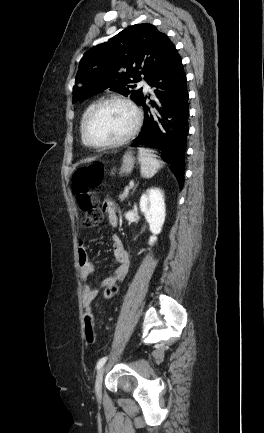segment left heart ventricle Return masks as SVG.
I'll return each instance as SVG.
<instances>
[{
    "label": "left heart ventricle",
    "mask_w": 264,
    "mask_h": 433,
    "mask_svg": "<svg viewBox=\"0 0 264 433\" xmlns=\"http://www.w3.org/2000/svg\"><path fill=\"white\" fill-rule=\"evenodd\" d=\"M134 117L129 108L118 103L100 107L87 125L89 137L97 143L116 140L132 127Z\"/></svg>",
    "instance_id": "1"
}]
</instances>
